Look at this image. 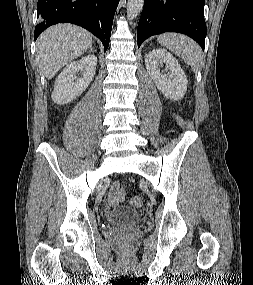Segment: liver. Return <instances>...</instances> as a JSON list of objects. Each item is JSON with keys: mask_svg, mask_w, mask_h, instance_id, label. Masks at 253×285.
<instances>
[{"mask_svg": "<svg viewBox=\"0 0 253 285\" xmlns=\"http://www.w3.org/2000/svg\"><path fill=\"white\" fill-rule=\"evenodd\" d=\"M92 34L71 24H58L45 30L37 41V59L41 72L50 80L67 63L92 46Z\"/></svg>", "mask_w": 253, "mask_h": 285, "instance_id": "obj_1", "label": "liver"}]
</instances>
